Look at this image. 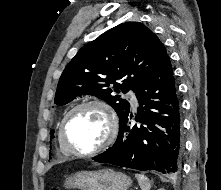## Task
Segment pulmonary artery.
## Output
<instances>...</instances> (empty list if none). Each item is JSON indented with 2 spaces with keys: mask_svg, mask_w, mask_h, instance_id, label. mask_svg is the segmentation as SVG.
<instances>
[{
  "mask_svg": "<svg viewBox=\"0 0 221 190\" xmlns=\"http://www.w3.org/2000/svg\"><path fill=\"white\" fill-rule=\"evenodd\" d=\"M127 96L131 99L132 104H133L134 106H136L137 103H138L136 96H135L132 92H129V93L127 94Z\"/></svg>",
  "mask_w": 221,
  "mask_h": 190,
  "instance_id": "pulmonary-artery-1",
  "label": "pulmonary artery"
}]
</instances>
